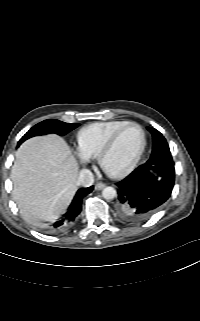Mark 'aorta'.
<instances>
[{"label":"aorta","instance_id":"762f6f07","mask_svg":"<svg viewBox=\"0 0 200 321\" xmlns=\"http://www.w3.org/2000/svg\"><path fill=\"white\" fill-rule=\"evenodd\" d=\"M102 196L105 200H112L117 196V193L113 187H105L102 191Z\"/></svg>","mask_w":200,"mask_h":321}]
</instances>
